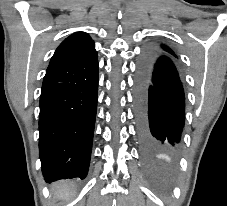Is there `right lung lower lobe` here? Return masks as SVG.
Returning <instances> with one entry per match:
<instances>
[{"label":"right lung lower lobe","mask_w":227,"mask_h":206,"mask_svg":"<svg viewBox=\"0 0 227 206\" xmlns=\"http://www.w3.org/2000/svg\"><path fill=\"white\" fill-rule=\"evenodd\" d=\"M97 93V57L46 72L39 115V150L46 182L86 177Z\"/></svg>","instance_id":"obj_1"}]
</instances>
